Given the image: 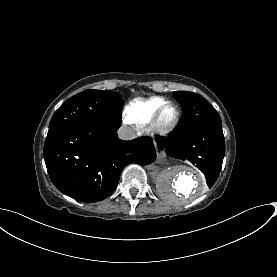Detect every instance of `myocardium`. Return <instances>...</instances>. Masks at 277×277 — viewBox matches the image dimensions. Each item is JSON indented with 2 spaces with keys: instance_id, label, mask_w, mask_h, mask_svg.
I'll return each instance as SVG.
<instances>
[{
  "instance_id": "1",
  "label": "myocardium",
  "mask_w": 277,
  "mask_h": 277,
  "mask_svg": "<svg viewBox=\"0 0 277 277\" xmlns=\"http://www.w3.org/2000/svg\"><path fill=\"white\" fill-rule=\"evenodd\" d=\"M169 107L175 108V117L169 125L165 126L161 123V118H162L163 112ZM179 120H180L179 107L175 103L165 102L162 105H160L156 109L155 113L153 114L149 122V131L151 132L152 135L165 136L171 133L176 128V126L179 123Z\"/></svg>"
}]
</instances>
